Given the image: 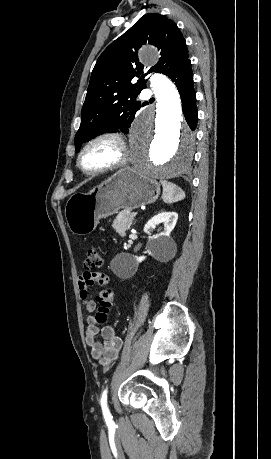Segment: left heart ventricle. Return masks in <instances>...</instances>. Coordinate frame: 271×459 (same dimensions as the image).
Instances as JSON below:
<instances>
[{
	"instance_id": "1",
	"label": "left heart ventricle",
	"mask_w": 271,
	"mask_h": 459,
	"mask_svg": "<svg viewBox=\"0 0 271 459\" xmlns=\"http://www.w3.org/2000/svg\"><path fill=\"white\" fill-rule=\"evenodd\" d=\"M117 151V145L112 139H99L84 152L81 160L82 167L90 171L104 165L116 157Z\"/></svg>"
}]
</instances>
